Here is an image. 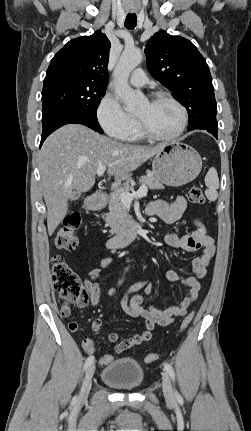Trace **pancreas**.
Instances as JSON below:
<instances>
[{"instance_id": "obj_1", "label": "pancreas", "mask_w": 251, "mask_h": 431, "mask_svg": "<svg viewBox=\"0 0 251 431\" xmlns=\"http://www.w3.org/2000/svg\"><path fill=\"white\" fill-rule=\"evenodd\" d=\"M131 180H127L122 187L117 188L109 196V213L105 214L104 220L106 226H109L111 235L120 234L126 230L130 224L129 215L125 205L120 201V194L123 192H129ZM139 182L142 185H146L149 189H163L162 183L154 176L150 171L147 172L146 176L140 178Z\"/></svg>"}]
</instances>
